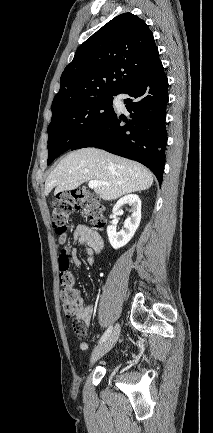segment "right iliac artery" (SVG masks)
<instances>
[{
    "label": "right iliac artery",
    "instance_id": "1",
    "mask_svg": "<svg viewBox=\"0 0 213 433\" xmlns=\"http://www.w3.org/2000/svg\"><path fill=\"white\" fill-rule=\"evenodd\" d=\"M112 332V326H109L108 329L105 331V333L102 335L101 339L99 340V343H103L111 334Z\"/></svg>",
    "mask_w": 213,
    "mask_h": 433
}]
</instances>
